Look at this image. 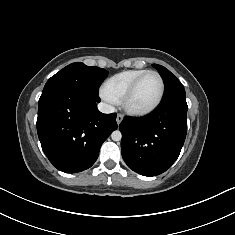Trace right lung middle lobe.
<instances>
[{
  "instance_id": "dd1d6c3e",
  "label": "right lung middle lobe",
  "mask_w": 235,
  "mask_h": 235,
  "mask_svg": "<svg viewBox=\"0 0 235 235\" xmlns=\"http://www.w3.org/2000/svg\"><path fill=\"white\" fill-rule=\"evenodd\" d=\"M107 74L108 71L105 69L75 62L52 76L45 84L43 92L60 88H75L98 95V87Z\"/></svg>"
}]
</instances>
